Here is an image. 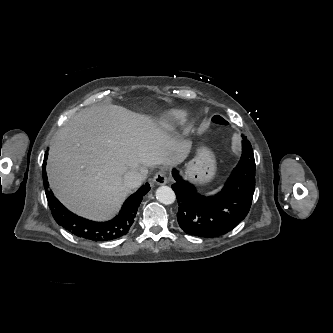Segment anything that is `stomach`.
Listing matches in <instances>:
<instances>
[{
	"label": "stomach",
	"mask_w": 333,
	"mask_h": 333,
	"mask_svg": "<svg viewBox=\"0 0 333 333\" xmlns=\"http://www.w3.org/2000/svg\"><path fill=\"white\" fill-rule=\"evenodd\" d=\"M216 162L213 152L206 146L197 149L195 158L186 164L185 176L196 184L208 183L215 175Z\"/></svg>",
	"instance_id": "obj_1"
}]
</instances>
